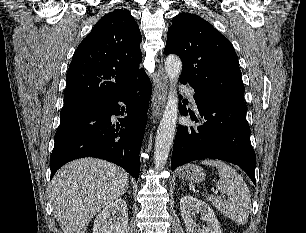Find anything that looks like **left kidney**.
<instances>
[{"mask_svg":"<svg viewBox=\"0 0 306 233\" xmlns=\"http://www.w3.org/2000/svg\"><path fill=\"white\" fill-rule=\"evenodd\" d=\"M180 210L187 233H221L214 211L205 202L192 196H184L180 200ZM195 213H201V220L206 223L203 229H200L193 219Z\"/></svg>","mask_w":306,"mask_h":233,"instance_id":"1","label":"left kidney"}]
</instances>
